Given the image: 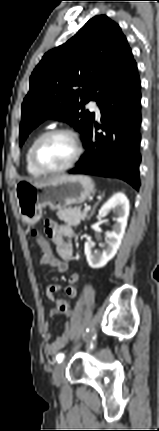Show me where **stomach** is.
I'll return each mask as SVG.
<instances>
[{"mask_svg": "<svg viewBox=\"0 0 159 431\" xmlns=\"http://www.w3.org/2000/svg\"><path fill=\"white\" fill-rule=\"evenodd\" d=\"M95 192L92 179L85 175L57 176L44 182L19 181L15 197L22 220L28 225L36 224L46 206L64 209L81 204Z\"/></svg>", "mask_w": 159, "mask_h": 431, "instance_id": "0dacf381", "label": "stomach"}]
</instances>
